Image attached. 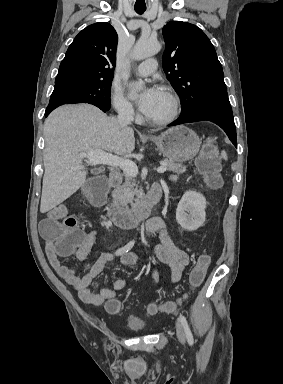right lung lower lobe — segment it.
I'll return each mask as SVG.
<instances>
[{"instance_id": "98d812e1", "label": "right lung lower lobe", "mask_w": 283, "mask_h": 384, "mask_svg": "<svg viewBox=\"0 0 283 384\" xmlns=\"http://www.w3.org/2000/svg\"><path fill=\"white\" fill-rule=\"evenodd\" d=\"M97 106L98 108H100L102 111L106 112L110 109V106H99V105H95ZM55 108H48L46 109L45 111V117H47L51 111H53Z\"/></svg>"}]
</instances>
